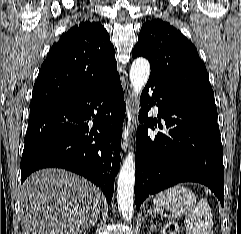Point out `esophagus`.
Returning a JSON list of instances; mask_svg holds the SVG:
<instances>
[{"instance_id":"1","label":"esophagus","mask_w":241,"mask_h":234,"mask_svg":"<svg viewBox=\"0 0 241 234\" xmlns=\"http://www.w3.org/2000/svg\"><path fill=\"white\" fill-rule=\"evenodd\" d=\"M136 111V103L133 97V94L130 93L127 98V109L125 114V119L123 122V149L126 151L129 141L130 135L133 131L134 127V114Z\"/></svg>"}]
</instances>
